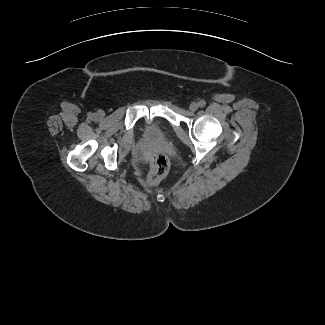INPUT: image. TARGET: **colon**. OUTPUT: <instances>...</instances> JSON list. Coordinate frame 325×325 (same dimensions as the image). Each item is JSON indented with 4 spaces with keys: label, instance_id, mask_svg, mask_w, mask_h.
Returning <instances> with one entry per match:
<instances>
[{
    "label": "colon",
    "instance_id": "5ec220e1",
    "mask_svg": "<svg viewBox=\"0 0 325 325\" xmlns=\"http://www.w3.org/2000/svg\"><path fill=\"white\" fill-rule=\"evenodd\" d=\"M169 171V160L162 154L156 155L152 160V168L148 174V182L156 184L162 180Z\"/></svg>",
    "mask_w": 325,
    "mask_h": 325
}]
</instances>
